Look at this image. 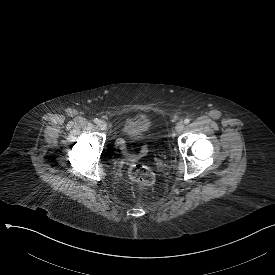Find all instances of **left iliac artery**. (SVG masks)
<instances>
[{"label": "left iliac artery", "instance_id": "1", "mask_svg": "<svg viewBox=\"0 0 275 275\" xmlns=\"http://www.w3.org/2000/svg\"><path fill=\"white\" fill-rule=\"evenodd\" d=\"M184 123H185V124H189V123H190V119L186 118V119L184 120Z\"/></svg>", "mask_w": 275, "mask_h": 275}]
</instances>
